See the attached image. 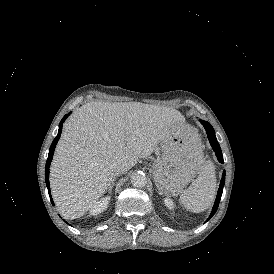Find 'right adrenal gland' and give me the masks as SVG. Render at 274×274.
<instances>
[{"instance_id": "obj_1", "label": "right adrenal gland", "mask_w": 274, "mask_h": 274, "mask_svg": "<svg viewBox=\"0 0 274 274\" xmlns=\"http://www.w3.org/2000/svg\"><path fill=\"white\" fill-rule=\"evenodd\" d=\"M115 179H116V178H113L111 185L108 187V192H109V194H111V192H112V188H113V186H114V181H115Z\"/></svg>"}]
</instances>
